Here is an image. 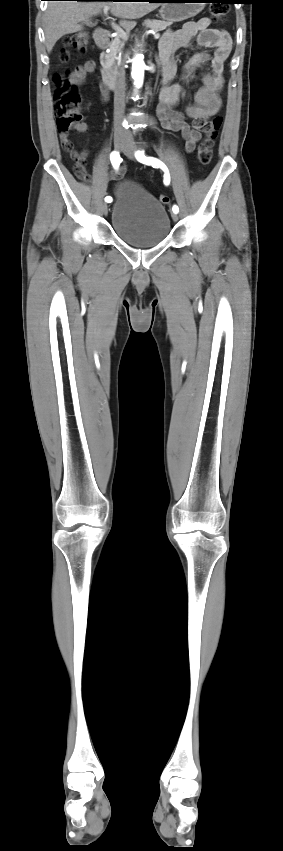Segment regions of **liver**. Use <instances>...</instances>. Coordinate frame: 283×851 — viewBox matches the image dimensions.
I'll return each mask as SVG.
<instances>
[{
  "label": "liver",
  "mask_w": 283,
  "mask_h": 851,
  "mask_svg": "<svg viewBox=\"0 0 283 851\" xmlns=\"http://www.w3.org/2000/svg\"><path fill=\"white\" fill-rule=\"evenodd\" d=\"M159 6L158 2L50 1L43 18L46 49L50 53L62 36L82 30V23H88L104 7L122 18L121 26L129 31L135 22L128 20L141 18Z\"/></svg>",
  "instance_id": "obj_1"
}]
</instances>
